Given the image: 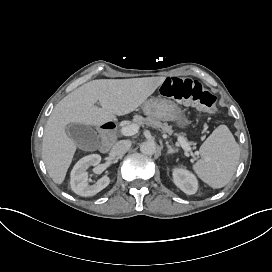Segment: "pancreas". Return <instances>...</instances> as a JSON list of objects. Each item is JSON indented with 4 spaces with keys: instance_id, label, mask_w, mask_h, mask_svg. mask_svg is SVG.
<instances>
[{
    "instance_id": "pancreas-1",
    "label": "pancreas",
    "mask_w": 272,
    "mask_h": 272,
    "mask_svg": "<svg viewBox=\"0 0 272 272\" xmlns=\"http://www.w3.org/2000/svg\"><path fill=\"white\" fill-rule=\"evenodd\" d=\"M134 123L137 126L148 125V126L157 128L159 131L163 133H168L169 135L172 133V131L168 128V125L166 123H161L160 121L154 120L151 118H143L142 116H135Z\"/></svg>"
}]
</instances>
